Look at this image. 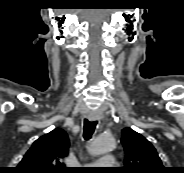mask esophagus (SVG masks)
<instances>
[{
  "mask_svg": "<svg viewBox=\"0 0 184 173\" xmlns=\"http://www.w3.org/2000/svg\"><path fill=\"white\" fill-rule=\"evenodd\" d=\"M87 118L90 121L99 120L101 118V114L99 112H91L88 114Z\"/></svg>",
  "mask_w": 184,
  "mask_h": 173,
  "instance_id": "1",
  "label": "esophagus"
}]
</instances>
